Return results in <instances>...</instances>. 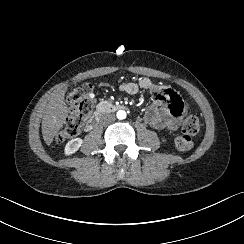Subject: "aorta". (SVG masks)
<instances>
[{"mask_svg":"<svg viewBox=\"0 0 244 244\" xmlns=\"http://www.w3.org/2000/svg\"><path fill=\"white\" fill-rule=\"evenodd\" d=\"M117 118H118L119 120H123V119H125V118H126V112H125L124 110H119V111L117 112Z\"/></svg>","mask_w":244,"mask_h":244,"instance_id":"aorta-1","label":"aorta"}]
</instances>
